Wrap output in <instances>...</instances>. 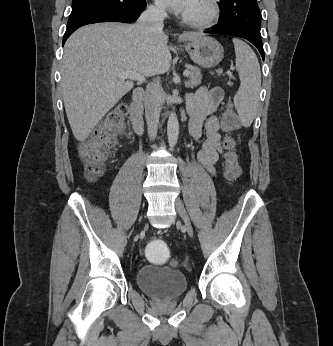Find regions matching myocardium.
Here are the masks:
<instances>
[{"label":"myocardium","instance_id":"obj_1","mask_svg":"<svg viewBox=\"0 0 333 346\" xmlns=\"http://www.w3.org/2000/svg\"><path fill=\"white\" fill-rule=\"evenodd\" d=\"M203 1L207 7L206 14L202 16L183 14L182 20L184 23L197 28H210L217 24L221 14L219 0Z\"/></svg>","mask_w":333,"mask_h":346}]
</instances>
